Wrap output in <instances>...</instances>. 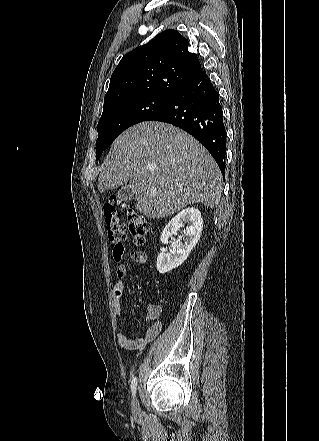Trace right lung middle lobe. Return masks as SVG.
I'll return each instance as SVG.
<instances>
[{"mask_svg":"<svg viewBox=\"0 0 319 441\" xmlns=\"http://www.w3.org/2000/svg\"><path fill=\"white\" fill-rule=\"evenodd\" d=\"M171 98L148 96L115 104L103 110L98 122L97 158L124 130L151 118L161 111Z\"/></svg>","mask_w":319,"mask_h":441,"instance_id":"right-lung-middle-lobe-1","label":"right lung middle lobe"}]
</instances>
